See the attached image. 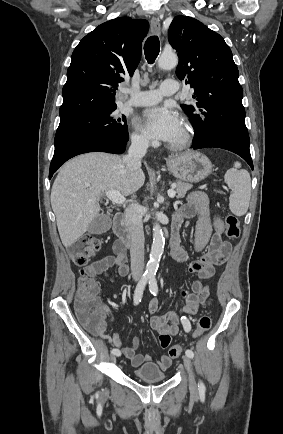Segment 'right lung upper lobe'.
<instances>
[{"mask_svg": "<svg viewBox=\"0 0 283 434\" xmlns=\"http://www.w3.org/2000/svg\"><path fill=\"white\" fill-rule=\"evenodd\" d=\"M148 28L146 20L119 17L80 41L67 70L60 117L116 107L115 91L123 75H133Z\"/></svg>", "mask_w": 283, "mask_h": 434, "instance_id": "cb5924a9", "label": "right lung upper lobe"}]
</instances>
